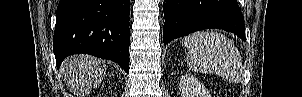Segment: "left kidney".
Listing matches in <instances>:
<instances>
[{"mask_svg":"<svg viewBox=\"0 0 302 97\" xmlns=\"http://www.w3.org/2000/svg\"><path fill=\"white\" fill-rule=\"evenodd\" d=\"M180 93L181 97H211L204 85L187 73L180 79Z\"/></svg>","mask_w":302,"mask_h":97,"instance_id":"obj_1","label":"left kidney"}]
</instances>
